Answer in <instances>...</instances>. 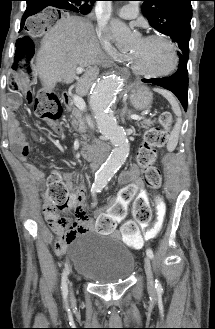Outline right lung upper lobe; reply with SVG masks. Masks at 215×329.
I'll return each mask as SVG.
<instances>
[{
  "label": "right lung upper lobe",
  "instance_id": "1",
  "mask_svg": "<svg viewBox=\"0 0 215 329\" xmlns=\"http://www.w3.org/2000/svg\"><path fill=\"white\" fill-rule=\"evenodd\" d=\"M44 1H47V3L44 4V8L48 6L57 8L58 5H63V3L66 2L67 0H44ZM85 1L93 4L94 1L96 0H85Z\"/></svg>",
  "mask_w": 215,
  "mask_h": 329
}]
</instances>
